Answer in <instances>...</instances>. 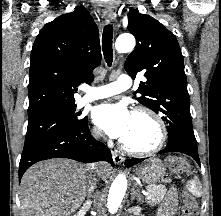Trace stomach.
I'll list each match as a JSON object with an SVG mask.
<instances>
[{
    "label": "stomach",
    "mask_w": 221,
    "mask_h": 216,
    "mask_svg": "<svg viewBox=\"0 0 221 216\" xmlns=\"http://www.w3.org/2000/svg\"><path fill=\"white\" fill-rule=\"evenodd\" d=\"M136 174L148 185H155L163 179L166 169L159 159H150L137 168Z\"/></svg>",
    "instance_id": "stomach-1"
}]
</instances>
